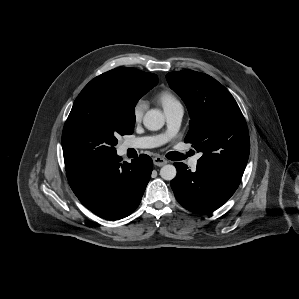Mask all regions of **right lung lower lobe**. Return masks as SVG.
I'll return each instance as SVG.
<instances>
[{
	"instance_id": "1",
	"label": "right lung lower lobe",
	"mask_w": 299,
	"mask_h": 299,
	"mask_svg": "<svg viewBox=\"0 0 299 299\" xmlns=\"http://www.w3.org/2000/svg\"><path fill=\"white\" fill-rule=\"evenodd\" d=\"M68 182L80 202L96 215L118 220L139 205L153 168L145 154L131 163L107 158L64 156Z\"/></svg>"
}]
</instances>
